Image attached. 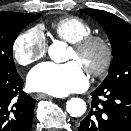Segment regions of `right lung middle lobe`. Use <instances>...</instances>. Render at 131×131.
Listing matches in <instances>:
<instances>
[{
  "label": "right lung middle lobe",
  "mask_w": 131,
  "mask_h": 131,
  "mask_svg": "<svg viewBox=\"0 0 131 131\" xmlns=\"http://www.w3.org/2000/svg\"><path fill=\"white\" fill-rule=\"evenodd\" d=\"M41 14L0 12V73L17 72L13 60V44L24 26Z\"/></svg>",
  "instance_id": "right-lung-middle-lobe-1"
}]
</instances>
